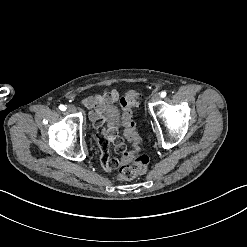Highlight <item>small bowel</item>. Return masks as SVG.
Returning a JSON list of instances; mask_svg holds the SVG:
<instances>
[{
  "instance_id": "obj_1",
  "label": "small bowel",
  "mask_w": 247,
  "mask_h": 247,
  "mask_svg": "<svg viewBox=\"0 0 247 247\" xmlns=\"http://www.w3.org/2000/svg\"><path fill=\"white\" fill-rule=\"evenodd\" d=\"M119 98V93L116 90L109 91L103 95H92L82 101V105L91 109L89 118L97 126L102 125L107 121V135L99 133L96 136V141L99 143V151L101 155V165L108 170H113L116 167V162L112 159L110 150V142L114 145V151L117 154H122L125 149L130 146V140L127 137H122L118 133V117L113 114L116 111V106L113 104ZM105 112L110 114L105 116Z\"/></svg>"
}]
</instances>
